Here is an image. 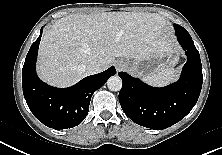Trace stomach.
Segmentation results:
<instances>
[{"label":"stomach","instance_id":"1","mask_svg":"<svg viewBox=\"0 0 222 155\" xmlns=\"http://www.w3.org/2000/svg\"><path fill=\"white\" fill-rule=\"evenodd\" d=\"M178 58L179 49L163 28L162 34L158 37L155 46L148 56L140 60H128L125 66L131 73L145 77L165 68L175 66Z\"/></svg>","mask_w":222,"mask_h":155}]
</instances>
